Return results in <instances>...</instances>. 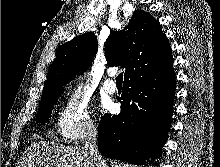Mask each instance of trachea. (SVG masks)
<instances>
[{"instance_id":"1","label":"trachea","mask_w":220,"mask_h":167,"mask_svg":"<svg viewBox=\"0 0 220 167\" xmlns=\"http://www.w3.org/2000/svg\"><path fill=\"white\" fill-rule=\"evenodd\" d=\"M123 81V73H120L117 77H116V82L117 83H122Z\"/></svg>"}]
</instances>
